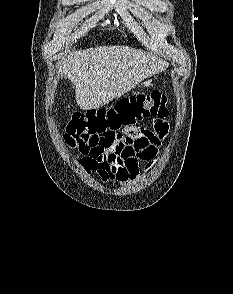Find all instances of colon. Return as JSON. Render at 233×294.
I'll use <instances>...</instances> for the list:
<instances>
[{
    "label": "colon",
    "instance_id": "obj_1",
    "mask_svg": "<svg viewBox=\"0 0 233 294\" xmlns=\"http://www.w3.org/2000/svg\"><path fill=\"white\" fill-rule=\"evenodd\" d=\"M166 97L159 91L120 100L113 108L75 112L66 125V142L83 156L96 157L105 149H123L133 142L125 137L143 117H166ZM119 154H110V157Z\"/></svg>",
    "mask_w": 233,
    "mask_h": 294
}]
</instances>
